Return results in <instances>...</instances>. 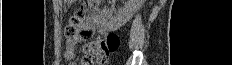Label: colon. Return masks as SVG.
I'll list each match as a JSON object with an SVG mask.
<instances>
[{"mask_svg": "<svg viewBox=\"0 0 232 65\" xmlns=\"http://www.w3.org/2000/svg\"><path fill=\"white\" fill-rule=\"evenodd\" d=\"M99 2L100 0H89L73 13L65 29L67 37L71 38L78 32L81 23L85 19L86 11ZM119 44V36L115 33H108L102 39L85 45L84 49L89 53L86 59L91 63L103 64L109 54L118 49Z\"/></svg>", "mask_w": 232, "mask_h": 65, "instance_id": "1", "label": "colon"}]
</instances>
